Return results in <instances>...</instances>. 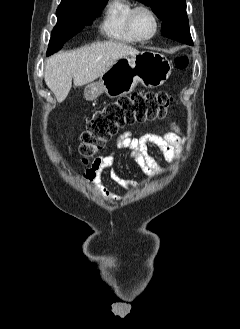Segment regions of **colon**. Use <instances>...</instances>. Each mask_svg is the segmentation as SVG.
Wrapping results in <instances>:
<instances>
[{
  "label": "colon",
  "instance_id": "colon-1",
  "mask_svg": "<svg viewBox=\"0 0 240 329\" xmlns=\"http://www.w3.org/2000/svg\"><path fill=\"white\" fill-rule=\"evenodd\" d=\"M175 65L184 69L188 65L186 56L175 59ZM172 103L165 91H150L124 96L95 111L81 136L80 154L85 161L93 158L119 129L164 118Z\"/></svg>",
  "mask_w": 240,
  "mask_h": 329
}]
</instances>
